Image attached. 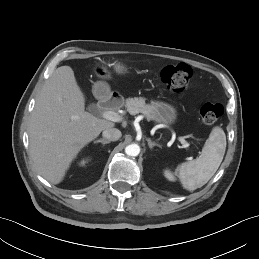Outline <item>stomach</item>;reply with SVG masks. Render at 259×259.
<instances>
[{
    "label": "stomach",
    "instance_id": "0dacf381",
    "mask_svg": "<svg viewBox=\"0 0 259 259\" xmlns=\"http://www.w3.org/2000/svg\"><path fill=\"white\" fill-rule=\"evenodd\" d=\"M113 68L116 73L123 74L127 71V68L120 62H114ZM96 74L98 77L102 79H109L111 77V73L108 71L106 66H100L96 70ZM95 91L101 95H107L110 92L109 86L105 81H99L94 86ZM152 112L151 119L163 123L167 126L173 125L178 117L176 108L165 102H151Z\"/></svg>",
    "mask_w": 259,
    "mask_h": 259
}]
</instances>
